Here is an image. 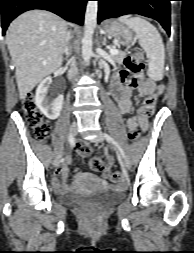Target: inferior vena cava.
<instances>
[{"mask_svg":"<svg viewBox=\"0 0 194 253\" xmlns=\"http://www.w3.org/2000/svg\"><path fill=\"white\" fill-rule=\"evenodd\" d=\"M70 38H71L70 32H67L66 39H65V45H64V52L66 53L67 57L71 54L70 49L68 47V41L70 40ZM69 63H70L71 68L69 70L68 77H69V79H72L77 75L78 70L76 67L75 60H71Z\"/></svg>","mask_w":194,"mask_h":253,"instance_id":"602c4592","label":"inferior vena cava"}]
</instances>
